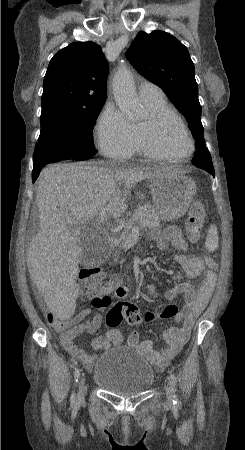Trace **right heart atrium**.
<instances>
[{"mask_svg": "<svg viewBox=\"0 0 245 450\" xmlns=\"http://www.w3.org/2000/svg\"><path fill=\"white\" fill-rule=\"evenodd\" d=\"M95 139L101 153L115 160H126L136 151L134 125L113 104H107L100 114Z\"/></svg>", "mask_w": 245, "mask_h": 450, "instance_id": "right-heart-atrium-1", "label": "right heart atrium"}]
</instances>
